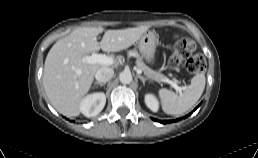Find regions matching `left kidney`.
<instances>
[{
  "label": "left kidney",
  "instance_id": "5707ae66",
  "mask_svg": "<svg viewBox=\"0 0 258 158\" xmlns=\"http://www.w3.org/2000/svg\"><path fill=\"white\" fill-rule=\"evenodd\" d=\"M145 103L151 111L157 112L159 110L158 99L153 94L145 95Z\"/></svg>",
  "mask_w": 258,
  "mask_h": 158
}]
</instances>
